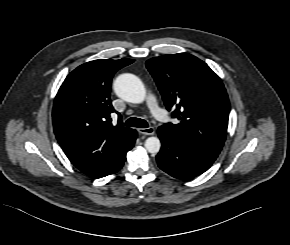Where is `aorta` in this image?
<instances>
[{
    "label": "aorta",
    "instance_id": "762f6f07",
    "mask_svg": "<svg viewBox=\"0 0 290 245\" xmlns=\"http://www.w3.org/2000/svg\"><path fill=\"white\" fill-rule=\"evenodd\" d=\"M114 91L118 97L130 103H142L146 97V90L142 81L133 74L119 75L113 84ZM145 149L156 154L160 151L161 142L158 137H149L145 141Z\"/></svg>",
    "mask_w": 290,
    "mask_h": 245
}]
</instances>
